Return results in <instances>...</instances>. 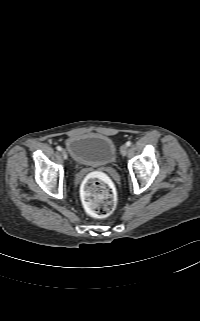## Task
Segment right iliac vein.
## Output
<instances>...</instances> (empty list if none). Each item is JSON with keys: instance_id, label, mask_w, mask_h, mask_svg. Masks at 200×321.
Instances as JSON below:
<instances>
[{"instance_id": "obj_1", "label": "right iliac vein", "mask_w": 200, "mask_h": 321, "mask_svg": "<svg viewBox=\"0 0 200 321\" xmlns=\"http://www.w3.org/2000/svg\"><path fill=\"white\" fill-rule=\"evenodd\" d=\"M61 154H62L64 159H67V153H66L65 150H61Z\"/></svg>"}]
</instances>
